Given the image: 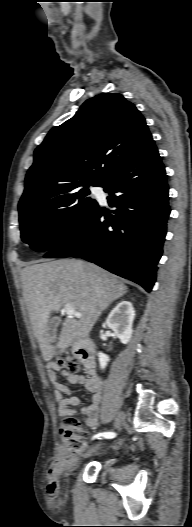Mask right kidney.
<instances>
[{"instance_id": "ca27d5eb", "label": "right kidney", "mask_w": 192, "mask_h": 527, "mask_svg": "<svg viewBox=\"0 0 192 527\" xmlns=\"http://www.w3.org/2000/svg\"><path fill=\"white\" fill-rule=\"evenodd\" d=\"M135 317L133 305L129 301L120 302L108 315L106 323L123 344H127L132 336V324ZM100 368L104 369L109 362V357L99 352Z\"/></svg>"}]
</instances>
